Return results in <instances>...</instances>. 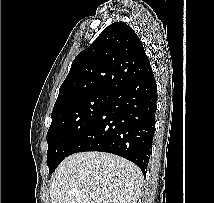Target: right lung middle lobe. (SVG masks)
I'll use <instances>...</instances> for the list:
<instances>
[{
    "label": "right lung middle lobe",
    "mask_w": 214,
    "mask_h": 203,
    "mask_svg": "<svg viewBox=\"0 0 214 203\" xmlns=\"http://www.w3.org/2000/svg\"><path fill=\"white\" fill-rule=\"evenodd\" d=\"M108 98V93H93L53 109L47 133L49 173L69 156L71 148L92 125Z\"/></svg>",
    "instance_id": "obj_1"
}]
</instances>
